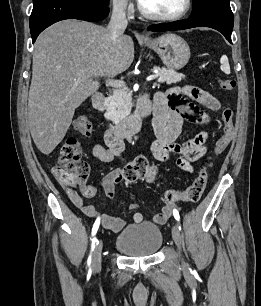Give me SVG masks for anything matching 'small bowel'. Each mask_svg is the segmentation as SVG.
<instances>
[{
  "label": "small bowel",
  "instance_id": "obj_1",
  "mask_svg": "<svg viewBox=\"0 0 261 306\" xmlns=\"http://www.w3.org/2000/svg\"><path fill=\"white\" fill-rule=\"evenodd\" d=\"M183 96L190 98L195 103L216 111L220 108V102L208 92L194 86L176 88L168 94L157 93L153 100V129L156 140L151 145L153 157L160 162H172L175 167L188 173H193V162L207 155V140L209 133L202 131L194 137L182 142H176L181 134L184 120L195 124H207L210 117L194 103L187 102ZM145 102L147 100L145 99ZM148 103V102H147ZM125 151L123 138L117 137L108 132L105 135V145L96 144L92 147L93 157L102 162H112L120 158ZM174 157V158H173ZM119 170H115L107 175L102 185L107 197L115 196V186L119 181H115L114 176ZM88 190H94L93 186L87 185L82 188V193L88 196ZM67 194L72 203L85 215L93 219H99L103 228L112 232H120L126 225L121 218L111 216L107 213L99 212L93 205L86 204L82 197L73 189H67ZM135 208V206L133 207ZM173 205L166 204L159 213L155 214L153 221L162 225L172 215ZM143 214L135 211L133 221L140 223Z\"/></svg>",
  "mask_w": 261,
  "mask_h": 306
}]
</instances>
